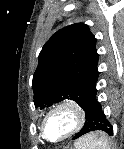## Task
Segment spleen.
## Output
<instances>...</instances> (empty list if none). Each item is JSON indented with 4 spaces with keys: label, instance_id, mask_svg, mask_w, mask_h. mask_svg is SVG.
<instances>
[{
    "label": "spleen",
    "instance_id": "1",
    "mask_svg": "<svg viewBox=\"0 0 124 149\" xmlns=\"http://www.w3.org/2000/svg\"><path fill=\"white\" fill-rule=\"evenodd\" d=\"M77 147L81 149H110V147L107 145L106 139H103V136H93L89 139L85 137L79 143H77Z\"/></svg>",
    "mask_w": 124,
    "mask_h": 149
}]
</instances>
